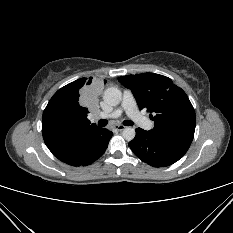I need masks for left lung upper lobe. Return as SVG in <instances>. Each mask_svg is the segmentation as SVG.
Masks as SVG:
<instances>
[{"label":"left lung upper lobe","instance_id":"left-lung-upper-lobe-1","mask_svg":"<svg viewBox=\"0 0 233 233\" xmlns=\"http://www.w3.org/2000/svg\"><path fill=\"white\" fill-rule=\"evenodd\" d=\"M119 82L131 89L140 109H147L154 128L149 132L161 140L190 145L195 132L194 108L172 80L155 73L127 75Z\"/></svg>","mask_w":233,"mask_h":233}]
</instances>
